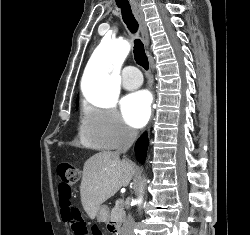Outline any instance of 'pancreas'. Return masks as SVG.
<instances>
[{
  "label": "pancreas",
  "mask_w": 250,
  "mask_h": 235,
  "mask_svg": "<svg viewBox=\"0 0 250 235\" xmlns=\"http://www.w3.org/2000/svg\"><path fill=\"white\" fill-rule=\"evenodd\" d=\"M111 221L122 223L125 220V211L123 207V202L119 200L118 203H116V206L111 211L110 216Z\"/></svg>",
  "instance_id": "1"
}]
</instances>
